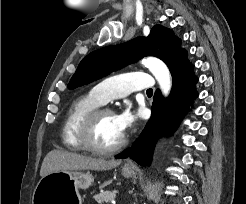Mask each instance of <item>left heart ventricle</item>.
<instances>
[{"mask_svg":"<svg viewBox=\"0 0 246 204\" xmlns=\"http://www.w3.org/2000/svg\"><path fill=\"white\" fill-rule=\"evenodd\" d=\"M124 135L119 128L115 115H103L96 123L92 138L96 145L109 147L116 144Z\"/></svg>","mask_w":246,"mask_h":204,"instance_id":"b2bd125f","label":"left heart ventricle"}]
</instances>
